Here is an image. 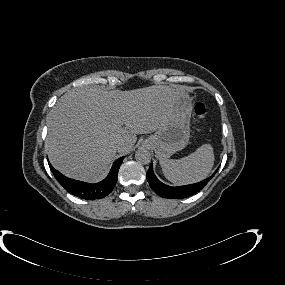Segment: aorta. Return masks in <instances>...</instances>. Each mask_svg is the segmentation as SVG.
Masks as SVG:
<instances>
[{"instance_id": "obj_1", "label": "aorta", "mask_w": 285, "mask_h": 285, "mask_svg": "<svg viewBox=\"0 0 285 285\" xmlns=\"http://www.w3.org/2000/svg\"><path fill=\"white\" fill-rule=\"evenodd\" d=\"M135 159L141 164H148L151 162V153L147 149H139L135 153Z\"/></svg>"}]
</instances>
